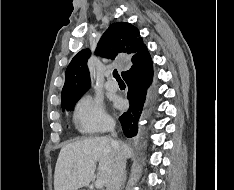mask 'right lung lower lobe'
<instances>
[{
    "label": "right lung lower lobe",
    "instance_id": "1",
    "mask_svg": "<svg viewBox=\"0 0 234 190\" xmlns=\"http://www.w3.org/2000/svg\"><path fill=\"white\" fill-rule=\"evenodd\" d=\"M130 70L122 74L128 85L127 97L130 108L119 118L125 136L133 137L138 132V120L142 113L148 85L153 78V64L147 48L132 62Z\"/></svg>",
    "mask_w": 234,
    "mask_h": 190
}]
</instances>
